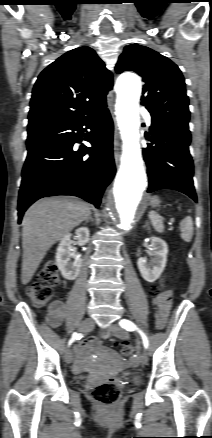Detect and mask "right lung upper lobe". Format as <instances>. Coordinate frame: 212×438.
Here are the masks:
<instances>
[{"label":"right lung upper lobe","mask_w":212,"mask_h":438,"mask_svg":"<svg viewBox=\"0 0 212 438\" xmlns=\"http://www.w3.org/2000/svg\"><path fill=\"white\" fill-rule=\"evenodd\" d=\"M113 78L90 47L68 51L39 75L32 92L28 127L54 120H81L106 107Z\"/></svg>","instance_id":"right-lung-upper-lobe-1"}]
</instances>
